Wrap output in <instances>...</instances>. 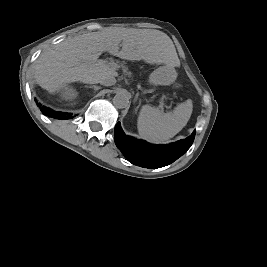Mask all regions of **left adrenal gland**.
<instances>
[{
	"mask_svg": "<svg viewBox=\"0 0 267 267\" xmlns=\"http://www.w3.org/2000/svg\"><path fill=\"white\" fill-rule=\"evenodd\" d=\"M138 98V94H136V99ZM140 104H141V101H139V105L135 108V111H137L138 110V108H139V106H140Z\"/></svg>",
	"mask_w": 267,
	"mask_h": 267,
	"instance_id": "1",
	"label": "left adrenal gland"
}]
</instances>
